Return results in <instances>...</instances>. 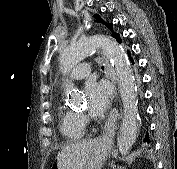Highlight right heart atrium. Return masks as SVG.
Returning a JSON list of instances; mask_svg holds the SVG:
<instances>
[{"mask_svg": "<svg viewBox=\"0 0 177 169\" xmlns=\"http://www.w3.org/2000/svg\"><path fill=\"white\" fill-rule=\"evenodd\" d=\"M81 118H82L83 122H85V121H86V118H84V117H81Z\"/></svg>", "mask_w": 177, "mask_h": 169, "instance_id": "obj_1", "label": "right heart atrium"}]
</instances>
